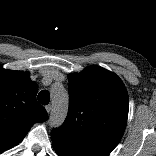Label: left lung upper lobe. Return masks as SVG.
I'll use <instances>...</instances> for the list:
<instances>
[{"mask_svg":"<svg viewBox=\"0 0 156 156\" xmlns=\"http://www.w3.org/2000/svg\"><path fill=\"white\" fill-rule=\"evenodd\" d=\"M69 110L55 134L75 146L107 156L120 141L127 123L129 99L121 79L91 66L69 75Z\"/></svg>","mask_w":156,"mask_h":156,"instance_id":"5c2ea615","label":"left lung upper lobe"}]
</instances>
